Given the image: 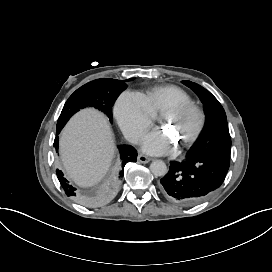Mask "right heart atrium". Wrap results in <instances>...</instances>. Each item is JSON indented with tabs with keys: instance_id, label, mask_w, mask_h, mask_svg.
<instances>
[{
	"instance_id": "1",
	"label": "right heart atrium",
	"mask_w": 272,
	"mask_h": 272,
	"mask_svg": "<svg viewBox=\"0 0 272 272\" xmlns=\"http://www.w3.org/2000/svg\"><path fill=\"white\" fill-rule=\"evenodd\" d=\"M116 114L123 131L137 142L154 122L156 114L147 98L137 92H124L117 101Z\"/></svg>"
}]
</instances>
